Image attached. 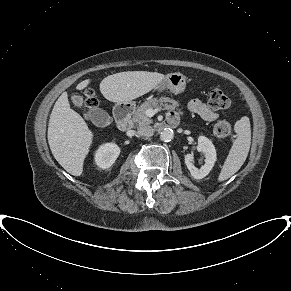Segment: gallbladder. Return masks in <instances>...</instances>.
<instances>
[{"mask_svg": "<svg viewBox=\"0 0 291 291\" xmlns=\"http://www.w3.org/2000/svg\"><path fill=\"white\" fill-rule=\"evenodd\" d=\"M72 103L77 107L81 108L83 106V97L80 95L71 96ZM86 115L88 119L96 126L104 127L111 123L112 118L110 115L103 109L99 107H91Z\"/></svg>", "mask_w": 291, "mask_h": 291, "instance_id": "gallbladder-1", "label": "gallbladder"}]
</instances>
